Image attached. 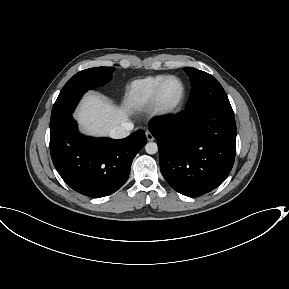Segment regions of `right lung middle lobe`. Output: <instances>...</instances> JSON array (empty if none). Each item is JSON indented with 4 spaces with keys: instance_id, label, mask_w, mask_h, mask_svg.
Returning a JSON list of instances; mask_svg holds the SVG:
<instances>
[{
    "instance_id": "dd1d6c3e",
    "label": "right lung middle lobe",
    "mask_w": 289,
    "mask_h": 289,
    "mask_svg": "<svg viewBox=\"0 0 289 289\" xmlns=\"http://www.w3.org/2000/svg\"><path fill=\"white\" fill-rule=\"evenodd\" d=\"M113 71V67H96L75 74L62 88L54 103L50 129L72 115L82 95L88 89H93L110 81Z\"/></svg>"
}]
</instances>
